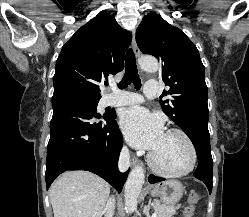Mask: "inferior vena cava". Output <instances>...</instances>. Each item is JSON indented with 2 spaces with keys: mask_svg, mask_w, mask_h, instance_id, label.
<instances>
[{
  "mask_svg": "<svg viewBox=\"0 0 249 217\" xmlns=\"http://www.w3.org/2000/svg\"><path fill=\"white\" fill-rule=\"evenodd\" d=\"M129 160H130L129 150L126 146H124L121 150L119 161H118V168L120 171L124 172L128 169ZM114 209H115V199L112 197V198H109V200L106 203V206L104 209L105 217H113Z\"/></svg>",
  "mask_w": 249,
  "mask_h": 217,
  "instance_id": "602c4592",
  "label": "inferior vena cava"
}]
</instances>
